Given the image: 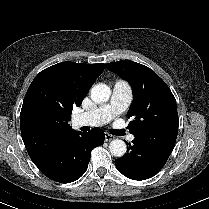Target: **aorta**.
Here are the masks:
<instances>
[{
    "mask_svg": "<svg viewBox=\"0 0 209 209\" xmlns=\"http://www.w3.org/2000/svg\"><path fill=\"white\" fill-rule=\"evenodd\" d=\"M111 95L110 87L99 83L91 88V99L95 103H104L108 101ZM110 153L115 157H122L126 153L127 147L123 140L115 139L109 144Z\"/></svg>",
    "mask_w": 209,
    "mask_h": 209,
    "instance_id": "aorta-1",
    "label": "aorta"
}]
</instances>
